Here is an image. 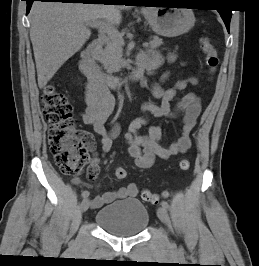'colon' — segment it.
<instances>
[{"label": "colon", "instance_id": "5ec220e1", "mask_svg": "<svg viewBox=\"0 0 259 266\" xmlns=\"http://www.w3.org/2000/svg\"><path fill=\"white\" fill-rule=\"evenodd\" d=\"M200 48L205 54V64L211 73L215 72L219 58L214 46L206 39H200ZM42 110L48 124V143L60 170L69 175L79 173L88 163V147L92 145V136L77 128L73 117L72 105L68 98L53 85H47L41 96ZM181 170H188L190 162L182 159L179 162ZM122 167L115 169L118 179L126 177ZM141 197L151 204H158L160 196L148 190H143Z\"/></svg>", "mask_w": 259, "mask_h": 266}]
</instances>
